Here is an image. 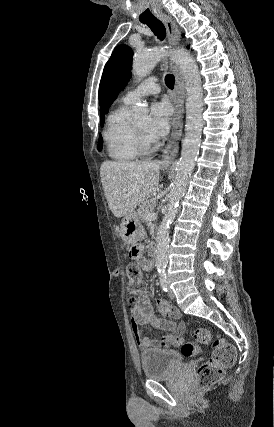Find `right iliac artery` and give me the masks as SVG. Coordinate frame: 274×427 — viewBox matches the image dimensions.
Returning a JSON list of instances; mask_svg holds the SVG:
<instances>
[{
    "label": "right iliac artery",
    "instance_id": "82829eb1",
    "mask_svg": "<svg viewBox=\"0 0 274 427\" xmlns=\"http://www.w3.org/2000/svg\"><path fill=\"white\" fill-rule=\"evenodd\" d=\"M160 285L165 292L168 291V282L166 280L160 281Z\"/></svg>",
    "mask_w": 274,
    "mask_h": 427
}]
</instances>
